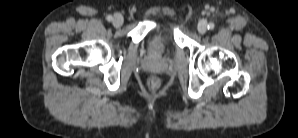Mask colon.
I'll return each instance as SVG.
<instances>
[{"label": "colon", "instance_id": "colon-1", "mask_svg": "<svg viewBox=\"0 0 298 138\" xmlns=\"http://www.w3.org/2000/svg\"><path fill=\"white\" fill-rule=\"evenodd\" d=\"M148 83H149V86L154 89V88H157L159 86L160 81L156 77H151L149 79Z\"/></svg>", "mask_w": 298, "mask_h": 138}]
</instances>
